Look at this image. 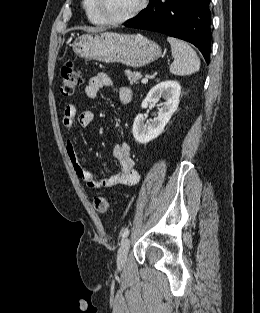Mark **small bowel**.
<instances>
[{"label": "small bowel", "mask_w": 260, "mask_h": 313, "mask_svg": "<svg viewBox=\"0 0 260 313\" xmlns=\"http://www.w3.org/2000/svg\"><path fill=\"white\" fill-rule=\"evenodd\" d=\"M112 85L113 81L108 74L98 73L89 79L85 93L89 98L96 99L103 87ZM119 98L124 104L130 103L133 98L132 90L127 86L120 87ZM75 117L76 107L72 104L66 106L62 118L63 125L66 128H71L74 125ZM93 120L94 113L91 110L83 111L78 117L79 124L82 127H89ZM65 150L75 175L92 190L118 185L131 186L139 181V173L135 168L130 146L125 142L116 143L113 147V156L119 162V171L110 176H97L84 169L79 161L76 146L71 139H67Z\"/></svg>", "instance_id": "obj_1"}]
</instances>
